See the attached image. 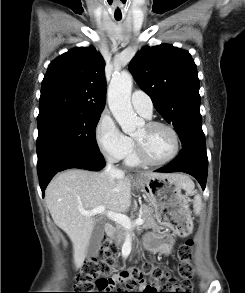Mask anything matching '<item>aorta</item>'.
Returning <instances> with one entry per match:
<instances>
[{
    "instance_id": "aorta-1",
    "label": "aorta",
    "mask_w": 245,
    "mask_h": 293,
    "mask_svg": "<svg viewBox=\"0 0 245 293\" xmlns=\"http://www.w3.org/2000/svg\"><path fill=\"white\" fill-rule=\"evenodd\" d=\"M133 78L130 73L114 75L108 88V105L122 131L132 134L143 120L135 114L131 105Z\"/></svg>"
}]
</instances>
